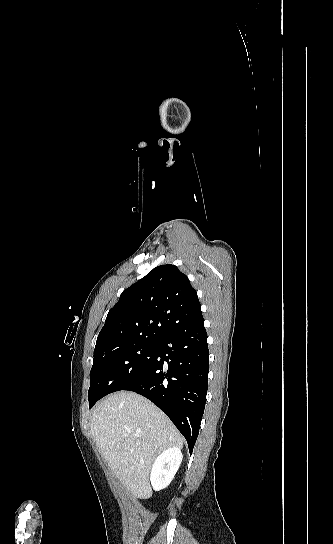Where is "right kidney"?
Returning a JSON list of instances; mask_svg holds the SVG:
<instances>
[{"label": "right kidney", "instance_id": "right-kidney-1", "mask_svg": "<svg viewBox=\"0 0 333 544\" xmlns=\"http://www.w3.org/2000/svg\"><path fill=\"white\" fill-rule=\"evenodd\" d=\"M183 455L179 448L163 451L154 461L151 470V485L155 491L166 488L173 480L182 462Z\"/></svg>", "mask_w": 333, "mask_h": 544}]
</instances>
